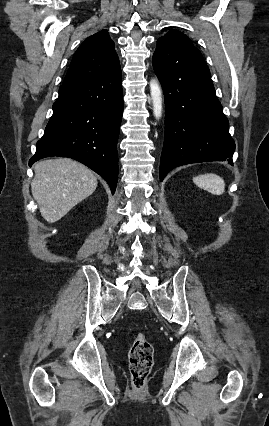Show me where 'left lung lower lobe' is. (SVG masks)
Returning <instances> with one entry per match:
<instances>
[{
	"label": "left lung lower lobe",
	"instance_id": "1",
	"mask_svg": "<svg viewBox=\"0 0 269 426\" xmlns=\"http://www.w3.org/2000/svg\"><path fill=\"white\" fill-rule=\"evenodd\" d=\"M153 68L165 97L160 181L185 164L230 158L232 165L235 143L200 51L192 45L158 40Z\"/></svg>",
	"mask_w": 269,
	"mask_h": 426
}]
</instances>
